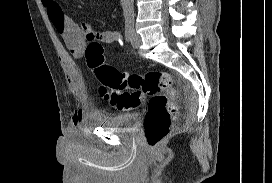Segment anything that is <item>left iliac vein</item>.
Segmentation results:
<instances>
[{
	"instance_id": "1",
	"label": "left iliac vein",
	"mask_w": 272,
	"mask_h": 183,
	"mask_svg": "<svg viewBox=\"0 0 272 183\" xmlns=\"http://www.w3.org/2000/svg\"><path fill=\"white\" fill-rule=\"evenodd\" d=\"M131 44H132L133 48H138L141 44V38L135 30L133 31Z\"/></svg>"
}]
</instances>
